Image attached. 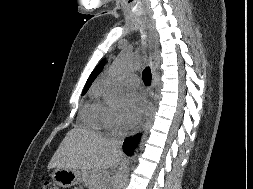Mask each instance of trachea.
<instances>
[{
  "mask_svg": "<svg viewBox=\"0 0 253 189\" xmlns=\"http://www.w3.org/2000/svg\"><path fill=\"white\" fill-rule=\"evenodd\" d=\"M142 78L145 85H151V70L149 67H146L142 72Z\"/></svg>",
  "mask_w": 253,
  "mask_h": 189,
  "instance_id": "1",
  "label": "trachea"
}]
</instances>
